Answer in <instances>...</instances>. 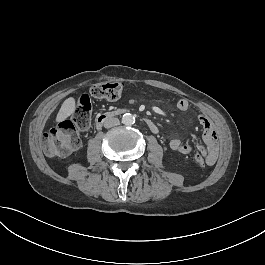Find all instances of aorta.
I'll return each instance as SVG.
<instances>
[{"instance_id":"aorta-1","label":"aorta","mask_w":265,"mask_h":265,"mask_svg":"<svg viewBox=\"0 0 265 265\" xmlns=\"http://www.w3.org/2000/svg\"><path fill=\"white\" fill-rule=\"evenodd\" d=\"M136 121V118L131 113H125L122 117V123L126 126H132Z\"/></svg>"}]
</instances>
